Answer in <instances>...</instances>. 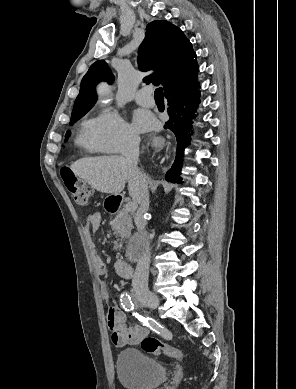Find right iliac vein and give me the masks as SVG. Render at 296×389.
Listing matches in <instances>:
<instances>
[{"instance_id":"1","label":"right iliac vein","mask_w":296,"mask_h":389,"mask_svg":"<svg viewBox=\"0 0 296 389\" xmlns=\"http://www.w3.org/2000/svg\"><path fill=\"white\" fill-rule=\"evenodd\" d=\"M141 302L143 305L148 306L152 309H156L159 306V299L155 294H147L142 299Z\"/></svg>"}]
</instances>
